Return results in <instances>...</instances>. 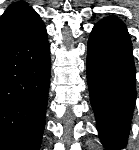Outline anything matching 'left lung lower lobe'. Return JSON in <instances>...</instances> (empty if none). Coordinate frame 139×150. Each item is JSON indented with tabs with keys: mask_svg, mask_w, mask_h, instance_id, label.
I'll list each match as a JSON object with an SVG mask.
<instances>
[{
	"mask_svg": "<svg viewBox=\"0 0 139 150\" xmlns=\"http://www.w3.org/2000/svg\"><path fill=\"white\" fill-rule=\"evenodd\" d=\"M135 74L126 26L113 16L98 22L88 41L87 80L98 132L109 149L127 143L136 102Z\"/></svg>",
	"mask_w": 139,
	"mask_h": 150,
	"instance_id": "left-lung-lower-lobe-1",
	"label": "left lung lower lobe"
}]
</instances>
